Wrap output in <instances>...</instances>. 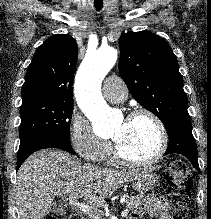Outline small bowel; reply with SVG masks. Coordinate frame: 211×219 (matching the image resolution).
Instances as JSON below:
<instances>
[{
    "label": "small bowel",
    "instance_id": "small-bowel-1",
    "mask_svg": "<svg viewBox=\"0 0 211 219\" xmlns=\"http://www.w3.org/2000/svg\"><path fill=\"white\" fill-rule=\"evenodd\" d=\"M147 215L153 219H171L168 203L162 196L153 195L132 213L131 219H140Z\"/></svg>",
    "mask_w": 211,
    "mask_h": 219
}]
</instances>
